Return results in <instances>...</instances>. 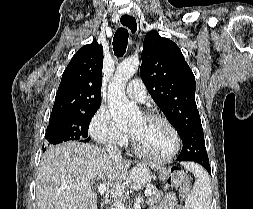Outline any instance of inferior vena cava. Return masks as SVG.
I'll return each instance as SVG.
<instances>
[{
	"mask_svg": "<svg viewBox=\"0 0 253 209\" xmlns=\"http://www.w3.org/2000/svg\"><path fill=\"white\" fill-rule=\"evenodd\" d=\"M105 151L110 158H113L116 160L122 159L121 151L119 150L117 145L112 141L107 142L105 146Z\"/></svg>",
	"mask_w": 253,
	"mask_h": 209,
	"instance_id": "obj_1",
	"label": "inferior vena cava"
}]
</instances>
